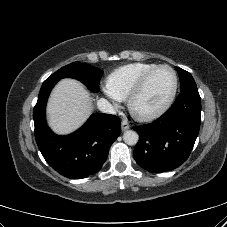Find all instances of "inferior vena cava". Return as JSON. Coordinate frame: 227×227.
Returning <instances> with one entry per match:
<instances>
[{"mask_svg":"<svg viewBox=\"0 0 227 227\" xmlns=\"http://www.w3.org/2000/svg\"><path fill=\"white\" fill-rule=\"evenodd\" d=\"M97 108L103 113H108V114L116 113V110L113 107V105L104 98H101L97 101Z\"/></svg>","mask_w":227,"mask_h":227,"instance_id":"inferior-vena-cava-1","label":"inferior vena cava"}]
</instances>
